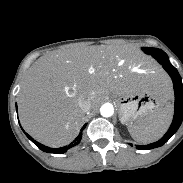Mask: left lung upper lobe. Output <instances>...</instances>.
Wrapping results in <instances>:
<instances>
[{
    "instance_id": "left-lung-upper-lobe-1",
    "label": "left lung upper lobe",
    "mask_w": 183,
    "mask_h": 183,
    "mask_svg": "<svg viewBox=\"0 0 183 183\" xmlns=\"http://www.w3.org/2000/svg\"><path fill=\"white\" fill-rule=\"evenodd\" d=\"M157 48H149V47H143L142 50L147 54H152L151 51ZM161 50V49H160Z\"/></svg>"
}]
</instances>
